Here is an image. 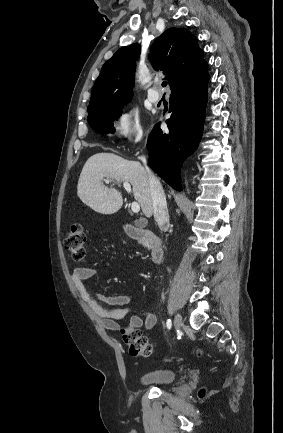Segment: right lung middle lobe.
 <instances>
[{"label": "right lung middle lobe", "instance_id": "right-lung-middle-lobe-1", "mask_svg": "<svg viewBox=\"0 0 283 433\" xmlns=\"http://www.w3.org/2000/svg\"><path fill=\"white\" fill-rule=\"evenodd\" d=\"M124 104L106 107L88 114L90 126L98 133L114 132V121L121 116L119 110Z\"/></svg>", "mask_w": 283, "mask_h": 433}]
</instances>
